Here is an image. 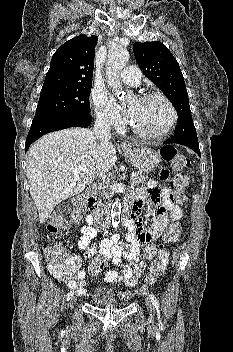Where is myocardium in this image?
Instances as JSON below:
<instances>
[{"mask_svg": "<svg viewBox=\"0 0 233 352\" xmlns=\"http://www.w3.org/2000/svg\"><path fill=\"white\" fill-rule=\"evenodd\" d=\"M152 98L161 99L168 106V108L170 110V113H171V118H170V121H169L167 127L164 130H162L161 132L149 133V132H145V131L140 130L138 127H136L132 123L131 120H130L129 125H130L131 130L134 132V134H136L137 136H139L141 138H145V139H161V138L165 137L166 135H168L171 132V130L174 128V126L177 123L178 115H177L176 108L174 107V105L170 101V99L167 96H165L164 94L160 93V92L143 93V94H141L138 97V100L145 101V100L152 99Z\"/></svg>", "mask_w": 233, "mask_h": 352, "instance_id": "f54148a6", "label": "myocardium"}]
</instances>
